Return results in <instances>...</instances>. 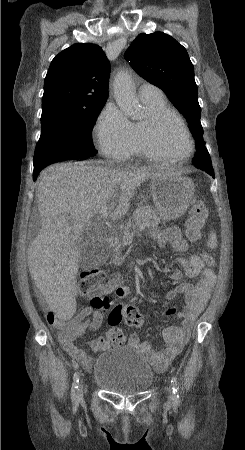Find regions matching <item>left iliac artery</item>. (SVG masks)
Instances as JSON below:
<instances>
[{
  "instance_id": "left-iliac-artery-1",
  "label": "left iliac artery",
  "mask_w": 245,
  "mask_h": 450,
  "mask_svg": "<svg viewBox=\"0 0 245 450\" xmlns=\"http://www.w3.org/2000/svg\"><path fill=\"white\" fill-rule=\"evenodd\" d=\"M171 384H172V392H173V397L172 400L174 403L178 404L179 403V385H178V381L176 377H172L171 378Z\"/></svg>"
}]
</instances>
